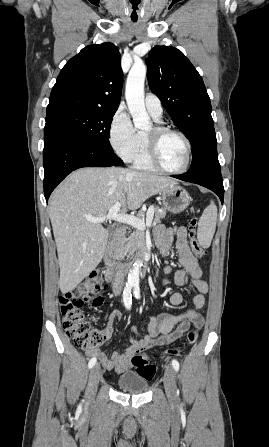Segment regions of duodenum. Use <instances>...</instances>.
Listing matches in <instances>:
<instances>
[{
	"mask_svg": "<svg viewBox=\"0 0 269 447\" xmlns=\"http://www.w3.org/2000/svg\"><path fill=\"white\" fill-rule=\"evenodd\" d=\"M124 233H125V230L123 228H118L114 232L112 241L105 252L103 272H104V277H105L106 281H114L120 277V266L115 260V253H116L118 244L120 243L121 239L124 236ZM141 257H142V260L144 261V265L142 266V271L145 273L147 271L146 261L148 258L145 253H142Z\"/></svg>",
	"mask_w": 269,
	"mask_h": 447,
	"instance_id": "1",
	"label": "duodenum"
}]
</instances>
